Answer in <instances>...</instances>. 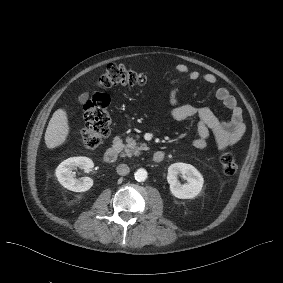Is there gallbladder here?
I'll return each instance as SVG.
<instances>
[{"label": "gallbladder", "mask_w": 283, "mask_h": 283, "mask_svg": "<svg viewBox=\"0 0 283 283\" xmlns=\"http://www.w3.org/2000/svg\"><path fill=\"white\" fill-rule=\"evenodd\" d=\"M89 97V94L88 93H83L82 95L79 96V101L80 103H85L87 101Z\"/></svg>", "instance_id": "obj_1"}]
</instances>
